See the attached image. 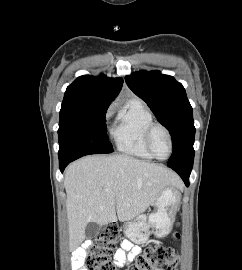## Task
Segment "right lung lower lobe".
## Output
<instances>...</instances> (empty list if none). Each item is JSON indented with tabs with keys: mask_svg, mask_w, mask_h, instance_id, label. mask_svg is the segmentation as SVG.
Here are the masks:
<instances>
[{
	"mask_svg": "<svg viewBox=\"0 0 242 270\" xmlns=\"http://www.w3.org/2000/svg\"><path fill=\"white\" fill-rule=\"evenodd\" d=\"M71 161H73V160H66V161L60 162V170H61V172L64 171L65 167H66Z\"/></svg>",
	"mask_w": 242,
	"mask_h": 270,
	"instance_id": "1",
	"label": "right lung lower lobe"
}]
</instances>
